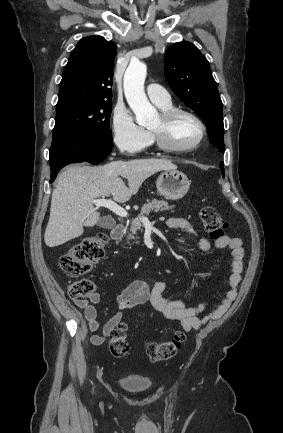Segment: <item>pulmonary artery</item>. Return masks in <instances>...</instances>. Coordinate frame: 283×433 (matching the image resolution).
<instances>
[{"mask_svg":"<svg viewBox=\"0 0 283 433\" xmlns=\"http://www.w3.org/2000/svg\"><path fill=\"white\" fill-rule=\"evenodd\" d=\"M146 93L151 101L158 106H164L171 102L169 93L158 84H148L146 86Z\"/></svg>","mask_w":283,"mask_h":433,"instance_id":"obj_1","label":"pulmonary artery"}]
</instances>
